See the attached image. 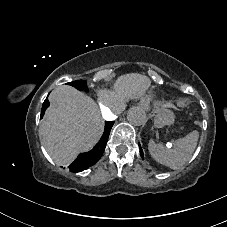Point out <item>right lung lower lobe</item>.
<instances>
[{
  "label": "right lung lower lobe",
  "mask_w": 227,
  "mask_h": 227,
  "mask_svg": "<svg viewBox=\"0 0 227 227\" xmlns=\"http://www.w3.org/2000/svg\"><path fill=\"white\" fill-rule=\"evenodd\" d=\"M46 100L48 101L47 98H46ZM48 103H49V101H48ZM45 110H46V108L42 107L40 118L43 117ZM113 123H114L113 121L105 122V130H104V133H103L100 141L96 144V146L91 151L81 153L78 155L76 160L69 166V169L71 172L82 171L97 163V161L100 159V157L102 156V154L105 150V146L108 141L109 133L113 126Z\"/></svg>",
  "instance_id": "obj_1"
}]
</instances>
